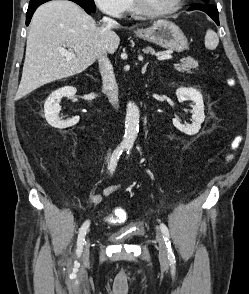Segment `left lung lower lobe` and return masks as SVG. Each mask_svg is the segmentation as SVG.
Returning <instances> with one entry per match:
<instances>
[{
  "instance_id": "left-lung-lower-lobe-1",
  "label": "left lung lower lobe",
  "mask_w": 249,
  "mask_h": 294,
  "mask_svg": "<svg viewBox=\"0 0 249 294\" xmlns=\"http://www.w3.org/2000/svg\"><path fill=\"white\" fill-rule=\"evenodd\" d=\"M191 10H201L205 13H207L215 22L217 25H219V17H218V10L217 7L211 4H197L188 9Z\"/></svg>"
}]
</instances>
